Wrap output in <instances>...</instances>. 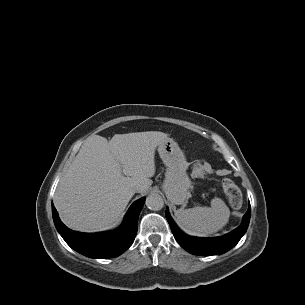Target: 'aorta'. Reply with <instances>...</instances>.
<instances>
[{
    "label": "aorta",
    "mask_w": 305,
    "mask_h": 305,
    "mask_svg": "<svg viewBox=\"0 0 305 305\" xmlns=\"http://www.w3.org/2000/svg\"><path fill=\"white\" fill-rule=\"evenodd\" d=\"M145 204L150 210L158 211L163 208L164 200L159 194L151 193L147 196Z\"/></svg>",
    "instance_id": "obj_1"
}]
</instances>
